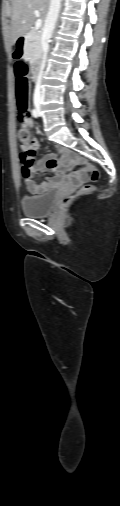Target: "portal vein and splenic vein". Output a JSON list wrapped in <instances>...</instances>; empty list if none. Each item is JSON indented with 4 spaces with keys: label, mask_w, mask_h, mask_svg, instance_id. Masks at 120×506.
Here are the masks:
<instances>
[{
    "label": "portal vein and splenic vein",
    "mask_w": 120,
    "mask_h": 506,
    "mask_svg": "<svg viewBox=\"0 0 120 506\" xmlns=\"http://www.w3.org/2000/svg\"><path fill=\"white\" fill-rule=\"evenodd\" d=\"M34 14L37 16V17H40V12L38 10H35L34 11ZM42 26V20L41 19H38L36 22H35V27L34 29L35 30H38L40 29Z\"/></svg>",
    "instance_id": "obj_1"
}]
</instances>
